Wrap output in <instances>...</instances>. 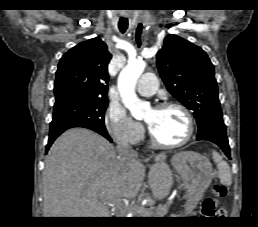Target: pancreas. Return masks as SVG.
Listing matches in <instances>:
<instances>
[{
	"mask_svg": "<svg viewBox=\"0 0 258 227\" xmlns=\"http://www.w3.org/2000/svg\"><path fill=\"white\" fill-rule=\"evenodd\" d=\"M172 203H167L163 206L158 207L157 209L153 208H143L136 209L134 217H165L168 213L169 207Z\"/></svg>",
	"mask_w": 258,
	"mask_h": 227,
	"instance_id": "1",
	"label": "pancreas"
}]
</instances>
